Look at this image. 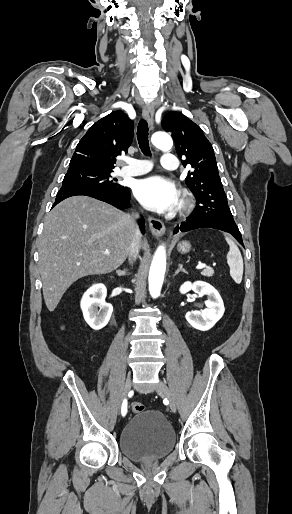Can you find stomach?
<instances>
[{
	"instance_id": "0dacf381",
	"label": "stomach",
	"mask_w": 292,
	"mask_h": 514,
	"mask_svg": "<svg viewBox=\"0 0 292 514\" xmlns=\"http://www.w3.org/2000/svg\"><path fill=\"white\" fill-rule=\"evenodd\" d=\"M177 250L181 252V254H187V252L191 250V244H189V242H181V244H178Z\"/></svg>"
}]
</instances>
